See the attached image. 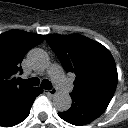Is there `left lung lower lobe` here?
<instances>
[{
    "label": "left lung lower lobe",
    "mask_w": 128,
    "mask_h": 128,
    "mask_svg": "<svg viewBox=\"0 0 128 128\" xmlns=\"http://www.w3.org/2000/svg\"><path fill=\"white\" fill-rule=\"evenodd\" d=\"M70 95L71 108L66 112H59L58 115L66 122L77 126L88 124L98 118L111 101L103 97Z\"/></svg>",
    "instance_id": "1"
}]
</instances>
